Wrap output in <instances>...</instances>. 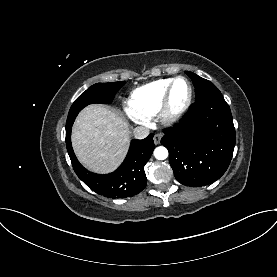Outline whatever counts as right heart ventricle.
I'll return each instance as SVG.
<instances>
[{
	"instance_id": "obj_1",
	"label": "right heart ventricle",
	"mask_w": 277,
	"mask_h": 277,
	"mask_svg": "<svg viewBox=\"0 0 277 277\" xmlns=\"http://www.w3.org/2000/svg\"><path fill=\"white\" fill-rule=\"evenodd\" d=\"M173 78L159 79L133 90L128 99V108L144 117L158 112L164 93Z\"/></svg>"
}]
</instances>
